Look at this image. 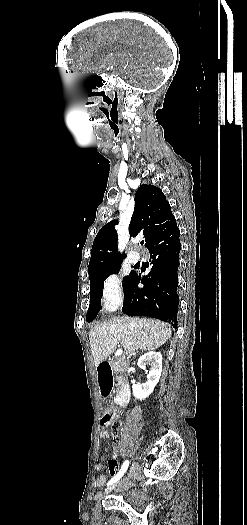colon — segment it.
Instances as JSON below:
<instances>
[{"label": "colon", "instance_id": "5ec220e1", "mask_svg": "<svg viewBox=\"0 0 247 525\" xmlns=\"http://www.w3.org/2000/svg\"><path fill=\"white\" fill-rule=\"evenodd\" d=\"M114 411H115V409L111 408L110 411L106 413V416L101 419L100 424H101L102 427L108 428V427L111 426V424H112L111 417H112V414L114 413Z\"/></svg>", "mask_w": 247, "mask_h": 525}]
</instances>
